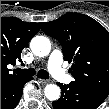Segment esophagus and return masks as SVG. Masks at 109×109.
I'll list each match as a JSON object with an SVG mask.
<instances>
[{"label": "esophagus", "mask_w": 109, "mask_h": 109, "mask_svg": "<svg viewBox=\"0 0 109 109\" xmlns=\"http://www.w3.org/2000/svg\"><path fill=\"white\" fill-rule=\"evenodd\" d=\"M40 82H41L43 85H47V84H49L51 81H50V80H40Z\"/></svg>", "instance_id": "34e87169"}]
</instances>
